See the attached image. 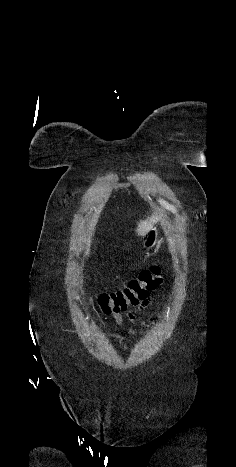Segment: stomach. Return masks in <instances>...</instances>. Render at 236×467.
I'll list each match as a JSON object with an SVG mask.
<instances>
[{"instance_id": "obj_1", "label": "stomach", "mask_w": 236, "mask_h": 467, "mask_svg": "<svg viewBox=\"0 0 236 467\" xmlns=\"http://www.w3.org/2000/svg\"><path fill=\"white\" fill-rule=\"evenodd\" d=\"M158 242V229L152 228L144 241V248L147 250L152 249Z\"/></svg>"}]
</instances>
